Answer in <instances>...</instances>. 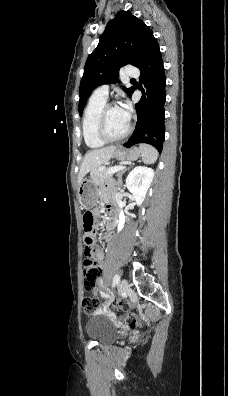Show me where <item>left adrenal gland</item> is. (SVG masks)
Returning <instances> with one entry per match:
<instances>
[{"instance_id": "left-adrenal-gland-1", "label": "left adrenal gland", "mask_w": 228, "mask_h": 396, "mask_svg": "<svg viewBox=\"0 0 228 396\" xmlns=\"http://www.w3.org/2000/svg\"><path fill=\"white\" fill-rule=\"evenodd\" d=\"M127 170H129V168L124 169V170H122L121 172H119V173L117 174V178H118L117 184H118V186H122V185H123V183H122V176H123V174H124Z\"/></svg>"}]
</instances>
